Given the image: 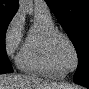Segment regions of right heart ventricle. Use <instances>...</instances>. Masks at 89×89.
Returning a JSON list of instances; mask_svg holds the SVG:
<instances>
[{
  "label": "right heart ventricle",
  "mask_w": 89,
  "mask_h": 89,
  "mask_svg": "<svg viewBox=\"0 0 89 89\" xmlns=\"http://www.w3.org/2000/svg\"><path fill=\"white\" fill-rule=\"evenodd\" d=\"M56 30L51 15L35 14V22L30 27L17 56V65L27 73L63 78L65 74L58 69L51 59L47 37Z\"/></svg>",
  "instance_id": "e07e8e85"
}]
</instances>
